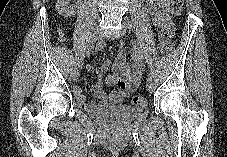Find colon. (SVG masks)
Instances as JSON below:
<instances>
[{
  "instance_id": "1",
  "label": "colon",
  "mask_w": 227,
  "mask_h": 157,
  "mask_svg": "<svg viewBox=\"0 0 227 157\" xmlns=\"http://www.w3.org/2000/svg\"><path fill=\"white\" fill-rule=\"evenodd\" d=\"M172 9L176 14H179L183 7V0H171ZM172 49V42L168 36V32L164 29L159 30V50L162 53H167ZM131 102L137 106H145L147 99L141 95H135L131 98Z\"/></svg>"
}]
</instances>
